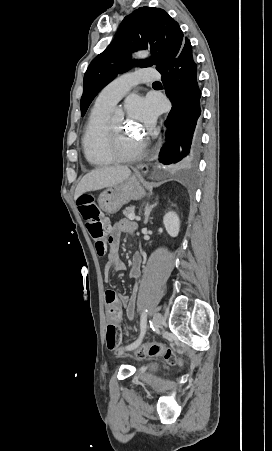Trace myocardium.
Returning a JSON list of instances; mask_svg holds the SVG:
<instances>
[{"label":"myocardium","instance_id":"myocardium-1","mask_svg":"<svg viewBox=\"0 0 272 451\" xmlns=\"http://www.w3.org/2000/svg\"><path fill=\"white\" fill-rule=\"evenodd\" d=\"M104 138L107 142H114V148L117 147L118 145L115 143L114 140V135H113V131H112V127H111V123L110 121H108L106 123L105 129H104ZM137 150V147H134L132 150H128V148H124V151L126 153V155H128V157H131L132 154Z\"/></svg>","mask_w":272,"mask_h":451}]
</instances>
